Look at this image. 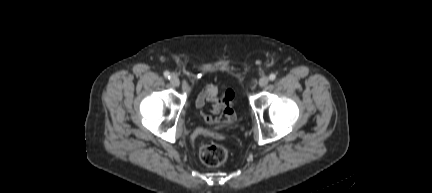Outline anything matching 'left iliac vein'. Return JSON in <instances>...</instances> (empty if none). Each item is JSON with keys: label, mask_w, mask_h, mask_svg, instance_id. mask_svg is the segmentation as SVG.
Masks as SVG:
<instances>
[{"label": "left iliac vein", "mask_w": 432, "mask_h": 193, "mask_svg": "<svg viewBox=\"0 0 432 193\" xmlns=\"http://www.w3.org/2000/svg\"><path fill=\"white\" fill-rule=\"evenodd\" d=\"M268 82H269V78L266 77V76H263L259 80V86L260 87H265L268 84Z\"/></svg>", "instance_id": "obj_1"}]
</instances>
